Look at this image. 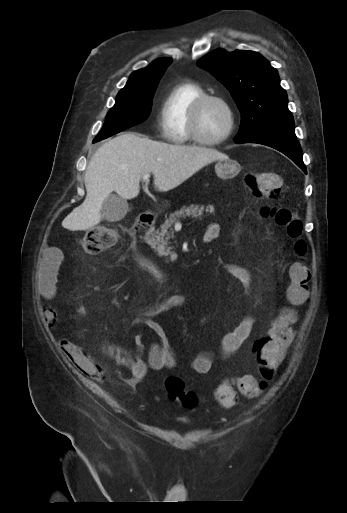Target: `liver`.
<instances>
[{
  "instance_id": "6515ba94",
  "label": "liver",
  "mask_w": 347,
  "mask_h": 513,
  "mask_svg": "<svg viewBox=\"0 0 347 513\" xmlns=\"http://www.w3.org/2000/svg\"><path fill=\"white\" fill-rule=\"evenodd\" d=\"M228 156L214 148L172 145L137 133H123L103 144L87 166L86 198L63 221L70 231L86 230L101 221L105 199L115 191L130 200L140 192L145 174H153L154 186L169 191L204 166Z\"/></svg>"
}]
</instances>
